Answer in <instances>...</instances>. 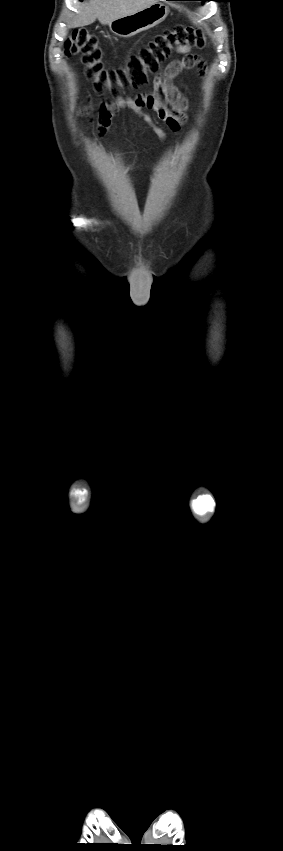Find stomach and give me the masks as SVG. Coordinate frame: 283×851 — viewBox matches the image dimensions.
Returning a JSON list of instances; mask_svg holds the SVG:
<instances>
[{
  "label": "stomach",
  "mask_w": 283,
  "mask_h": 851,
  "mask_svg": "<svg viewBox=\"0 0 283 851\" xmlns=\"http://www.w3.org/2000/svg\"><path fill=\"white\" fill-rule=\"evenodd\" d=\"M168 13L169 8L157 1L142 10L112 21L109 28L116 36L129 38L157 26L165 20Z\"/></svg>",
  "instance_id": "obj_1"
}]
</instances>
